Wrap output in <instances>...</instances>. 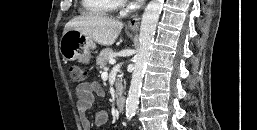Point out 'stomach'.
Here are the masks:
<instances>
[{"mask_svg":"<svg viewBox=\"0 0 257 130\" xmlns=\"http://www.w3.org/2000/svg\"><path fill=\"white\" fill-rule=\"evenodd\" d=\"M94 48V41L76 30L64 32L59 43L60 53L68 61L88 62Z\"/></svg>","mask_w":257,"mask_h":130,"instance_id":"1","label":"stomach"}]
</instances>
